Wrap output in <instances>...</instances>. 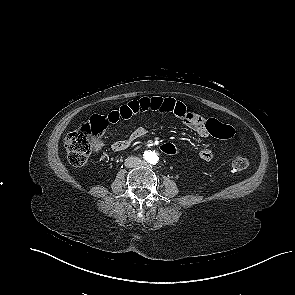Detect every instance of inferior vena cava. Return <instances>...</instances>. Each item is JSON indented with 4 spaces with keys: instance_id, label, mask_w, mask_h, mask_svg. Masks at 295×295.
<instances>
[{
    "instance_id": "602c4592",
    "label": "inferior vena cava",
    "mask_w": 295,
    "mask_h": 295,
    "mask_svg": "<svg viewBox=\"0 0 295 295\" xmlns=\"http://www.w3.org/2000/svg\"><path fill=\"white\" fill-rule=\"evenodd\" d=\"M141 163L140 158L135 156H130L125 159V166L128 168H134L137 167Z\"/></svg>"
}]
</instances>
